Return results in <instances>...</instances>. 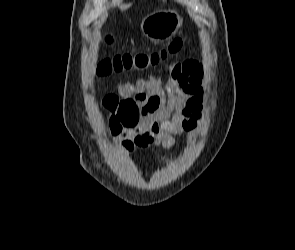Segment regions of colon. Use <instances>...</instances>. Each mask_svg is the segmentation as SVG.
I'll use <instances>...</instances> for the list:
<instances>
[{
    "label": "colon",
    "instance_id": "obj_1",
    "mask_svg": "<svg viewBox=\"0 0 295 250\" xmlns=\"http://www.w3.org/2000/svg\"><path fill=\"white\" fill-rule=\"evenodd\" d=\"M110 42L111 38L108 37ZM186 39L183 37L174 38L166 49L154 53L138 54H117L112 57L102 59L97 67L98 76H108L129 69H145L158 64L169 54L179 52L185 45ZM103 106L109 111V125L112 134H121L125 129L136 127L142 116V108L132 98L119 99L117 96L108 95L103 100Z\"/></svg>",
    "mask_w": 295,
    "mask_h": 250
}]
</instances>
